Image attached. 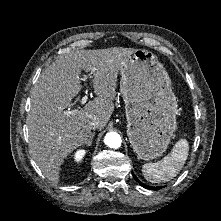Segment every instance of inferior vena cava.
Here are the masks:
<instances>
[{
	"label": "inferior vena cava",
	"mask_w": 221,
	"mask_h": 221,
	"mask_svg": "<svg viewBox=\"0 0 221 221\" xmlns=\"http://www.w3.org/2000/svg\"><path fill=\"white\" fill-rule=\"evenodd\" d=\"M99 126H100V122L99 121H93L90 124V128L93 129V130L99 128Z\"/></svg>",
	"instance_id": "1"
}]
</instances>
